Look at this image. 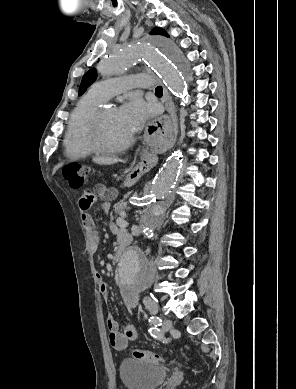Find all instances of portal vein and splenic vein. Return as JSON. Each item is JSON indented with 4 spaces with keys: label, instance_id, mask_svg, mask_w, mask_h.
<instances>
[{
    "label": "portal vein and splenic vein",
    "instance_id": "18ae733b",
    "mask_svg": "<svg viewBox=\"0 0 296 389\" xmlns=\"http://www.w3.org/2000/svg\"><path fill=\"white\" fill-rule=\"evenodd\" d=\"M117 222L122 225V226H127L128 223L121 217L119 219H117Z\"/></svg>",
    "mask_w": 296,
    "mask_h": 389
}]
</instances>
